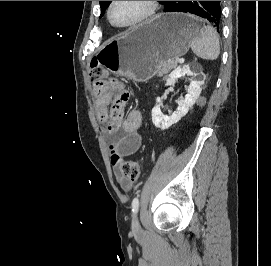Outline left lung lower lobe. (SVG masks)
<instances>
[{
    "label": "left lung lower lobe",
    "instance_id": "obj_1",
    "mask_svg": "<svg viewBox=\"0 0 271 266\" xmlns=\"http://www.w3.org/2000/svg\"><path fill=\"white\" fill-rule=\"evenodd\" d=\"M164 12H184L207 19L218 31L221 23L220 1H169Z\"/></svg>",
    "mask_w": 271,
    "mask_h": 266
}]
</instances>
